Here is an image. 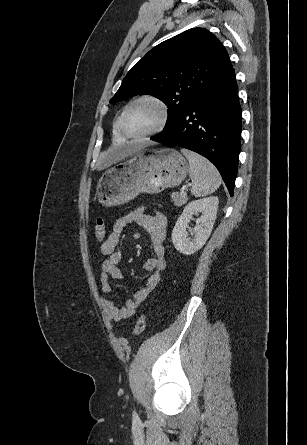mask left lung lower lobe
I'll return each instance as SVG.
<instances>
[{
  "label": "left lung lower lobe",
  "mask_w": 307,
  "mask_h": 445,
  "mask_svg": "<svg viewBox=\"0 0 307 445\" xmlns=\"http://www.w3.org/2000/svg\"><path fill=\"white\" fill-rule=\"evenodd\" d=\"M241 107L233 67L168 129L150 139L195 151L219 170L231 196L238 169Z\"/></svg>",
  "instance_id": "obj_1"
}]
</instances>
